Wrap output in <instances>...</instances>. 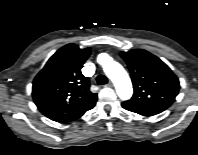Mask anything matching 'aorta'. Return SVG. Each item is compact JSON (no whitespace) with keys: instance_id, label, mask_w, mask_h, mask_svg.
<instances>
[{"instance_id":"obj_1","label":"aorta","mask_w":198,"mask_h":155,"mask_svg":"<svg viewBox=\"0 0 198 155\" xmlns=\"http://www.w3.org/2000/svg\"><path fill=\"white\" fill-rule=\"evenodd\" d=\"M98 62L102 65L105 74L113 82L117 95L122 100H128L133 94L132 83L128 73L111 57L103 53L98 56Z\"/></svg>"}]
</instances>
